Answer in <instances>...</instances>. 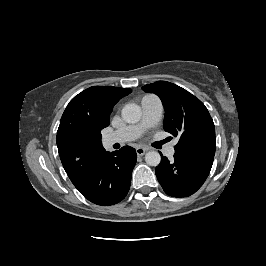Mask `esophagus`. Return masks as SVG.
<instances>
[{"instance_id":"1","label":"esophagus","mask_w":266,"mask_h":266,"mask_svg":"<svg viewBox=\"0 0 266 266\" xmlns=\"http://www.w3.org/2000/svg\"><path fill=\"white\" fill-rule=\"evenodd\" d=\"M147 152V148L144 147H137L136 153L138 156H143Z\"/></svg>"}]
</instances>
